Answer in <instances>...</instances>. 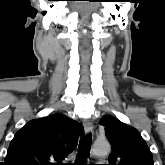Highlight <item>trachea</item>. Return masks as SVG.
I'll use <instances>...</instances> for the list:
<instances>
[{"instance_id":"1","label":"trachea","mask_w":165,"mask_h":165,"mask_svg":"<svg viewBox=\"0 0 165 165\" xmlns=\"http://www.w3.org/2000/svg\"><path fill=\"white\" fill-rule=\"evenodd\" d=\"M91 142H92L91 134H88L87 136H85L80 140L78 146V154L76 157V163H73L72 165H85L80 163H84L87 160L90 154Z\"/></svg>"}]
</instances>
